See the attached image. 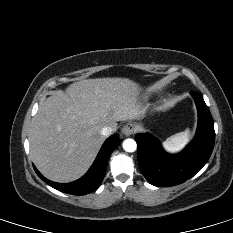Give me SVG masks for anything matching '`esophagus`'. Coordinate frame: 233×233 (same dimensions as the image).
I'll use <instances>...</instances> for the list:
<instances>
[{
  "instance_id": "34e87169",
  "label": "esophagus",
  "mask_w": 233,
  "mask_h": 233,
  "mask_svg": "<svg viewBox=\"0 0 233 233\" xmlns=\"http://www.w3.org/2000/svg\"><path fill=\"white\" fill-rule=\"evenodd\" d=\"M121 132L125 136H130L136 132V127L132 123H127L122 127Z\"/></svg>"
}]
</instances>
